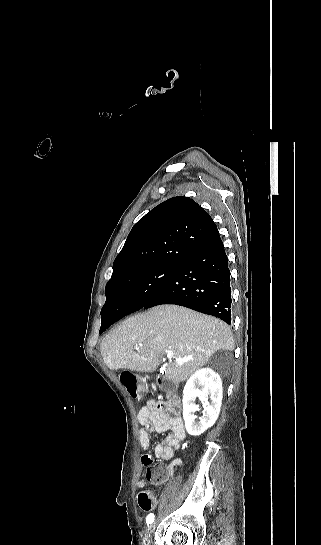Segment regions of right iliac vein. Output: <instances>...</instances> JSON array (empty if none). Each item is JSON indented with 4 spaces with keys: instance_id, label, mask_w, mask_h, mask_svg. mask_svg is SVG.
Instances as JSON below:
<instances>
[{
    "instance_id": "obj_1",
    "label": "right iliac vein",
    "mask_w": 321,
    "mask_h": 545,
    "mask_svg": "<svg viewBox=\"0 0 321 545\" xmlns=\"http://www.w3.org/2000/svg\"><path fill=\"white\" fill-rule=\"evenodd\" d=\"M155 528H156V522L153 523L149 529V532L147 533L146 535V538L149 540L153 534V532L155 531Z\"/></svg>"
}]
</instances>
